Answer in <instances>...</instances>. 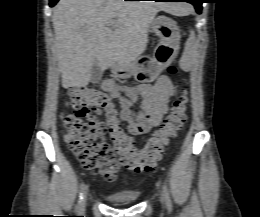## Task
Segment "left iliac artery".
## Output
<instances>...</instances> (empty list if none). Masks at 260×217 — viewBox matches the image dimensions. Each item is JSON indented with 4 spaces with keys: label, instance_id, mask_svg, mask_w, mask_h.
<instances>
[{
    "label": "left iliac artery",
    "instance_id": "44dca946",
    "mask_svg": "<svg viewBox=\"0 0 260 217\" xmlns=\"http://www.w3.org/2000/svg\"><path fill=\"white\" fill-rule=\"evenodd\" d=\"M163 195H164V199H165V202H166L168 209H171L172 202H171V198H170L168 188L165 184L163 185Z\"/></svg>",
    "mask_w": 260,
    "mask_h": 217
}]
</instances>
